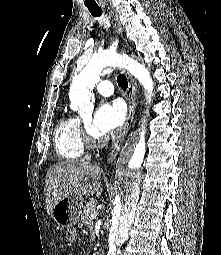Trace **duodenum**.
I'll use <instances>...</instances> for the list:
<instances>
[{"label": "duodenum", "mask_w": 221, "mask_h": 255, "mask_svg": "<svg viewBox=\"0 0 221 255\" xmlns=\"http://www.w3.org/2000/svg\"><path fill=\"white\" fill-rule=\"evenodd\" d=\"M95 255H103L101 252H97Z\"/></svg>", "instance_id": "obj_1"}]
</instances>
